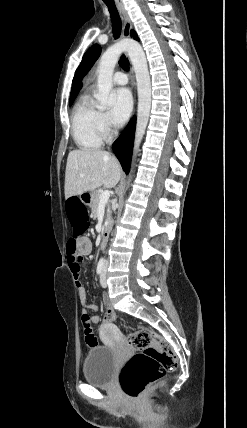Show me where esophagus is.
I'll return each instance as SVG.
<instances>
[{
	"label": "esophagus",
	"instance_id": "esophagus-1",
	"mask_svg": "<svg viewBox=\"0 0 247 428\" xmlns=\"http://www.w3.org/2000/svg\"><path fill=\"white\" fill-rule=\"evenodd\" d=\"M122 14H123V18H124V25H123V35L125 37H129L130 36V31L132 29V23L126 13V11L121 7L120 8ZM131 77H132V83L133 86L135 85V81H134V74H133V69H131Z\"/></svg>",
	"mask_w": 247,
	"mask_h": 428
}]
</instances>
